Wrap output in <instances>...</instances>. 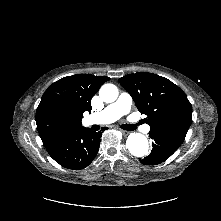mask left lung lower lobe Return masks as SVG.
<instances>
[{
  "mask_svg": "<svg viewBox=\"0 0 221 221\" xmlns=\"http://www.w3.org/2000/svg\"><path fill=\"white\" fill-rule=\"evenodd\" d=\"M150 138L153 140L151 153L142 159V164L155 165L167 160L182 144L175 138L169 137L158 132H149Z\"/></svg>",
  "mask_w": 221,
  "mask_h": 221,
  "instance_id": "obj_1",
  "label": "left lung lower lobe"
}]
</instances>
